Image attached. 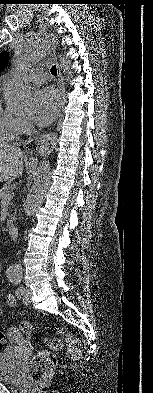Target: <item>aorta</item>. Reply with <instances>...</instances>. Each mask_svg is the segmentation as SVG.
<instances>
[{
	"label": "aorta",
	"instance_id": "obj_1",
	"mask_svg": "<svg viewBox=\"0 0 153 393\" xmlns=\"http://www.w3.org/2000/svg\"><path fill=\"white\" fill-rule=\"evenodd\" d=\"M58 43V38L48 32H37L24 38L15 51V68L19 71L25 70L37 63L50 51L54 44ZM60 64L67 73L70 61L64 55H60ZM69 74V73H68ZM4 100L6 108L12 113L28 112L32 109L34 95L31 87L24 82L11 81L4 87ZM57 144L54 135H45L40 138L37 146V154L40 163L36 169L33 184L24 202V213L27 217L32 216L42 205L46 191L50 185V162L48 156ZM12 274L20 273L19 265L11 266Z\"/></svg>",
	"mask_w": 153,
	"mask_h": 393
}]
</instances>
